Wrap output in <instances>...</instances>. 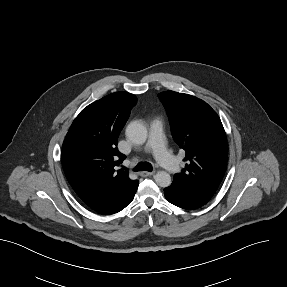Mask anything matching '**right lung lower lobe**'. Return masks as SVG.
Segmentation results:
<instances>
[{"label": "right lung lower lobe", "instance_id": "1", "mask_svg": "<svg viewBox=\"0 0 287 287\" xmlns=\"http://www.w3.org/2000/svg\"><path fill=\"white\" fill-rule=\"evenodd\" d=\"M139 181L126 186L111 187L82 197V202L91 210L103 214H115L131 203L137 191Z\"/></svg>", "mask_w": 287, "mask_h": 287}]
</instances>
